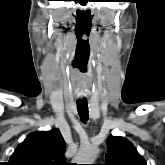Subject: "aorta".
I'll list each match as a JSON object with an SVG mask.
<instances>
[{
	"label": "aorta",
	"mask_w": 165,
	"mask_h": 165,
	"mask_svg": "<svg viewBox=\"0 0 165 165\" xmlns=\"http://www.w3.org/2000/svg\"><path fill=\"white\" fill-rule=\"evenodd\" d=\"M98 154V149L94 146L79 149L73 161L77 164H94Z\"/></svg>",
	"instance_id": "1"
}]
</instances>
